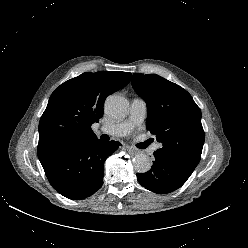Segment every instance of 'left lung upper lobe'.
<instances>
[{
  "mask_svg": "<svg viewBox=\"0 0 248 248\" xmlns=\"http://www.w3.org/2000/svg\"><path fill=\"white\" fill-rule=\"evenodd\" d=\"M131 83L147 104V130L162 143L154 153L192 174L205 139L200 108L185 89L156 74L135 73Z\"/></svg>",
  "mask_w": 248,
  "mask_h": 248,
  "instance_id": "1",
  "label": "left lung upper lobe"
}]
</instances>
